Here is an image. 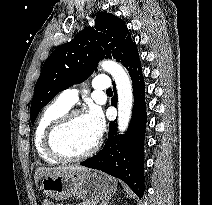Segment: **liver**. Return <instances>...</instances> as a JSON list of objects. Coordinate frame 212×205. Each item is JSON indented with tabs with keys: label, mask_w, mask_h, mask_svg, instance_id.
I'll list each match as a JSON object with an SVG mask.
<instances>
[{
	"label": "liver",
	"mask_w": 212,
	"mask_h": 205,
	"mask_svg": "<svg viewBox=\"0 0 212 205\" xmlns=\"http://www.w3.org/2000/svg\"><path fill=\"white\" fill-rule=\"evenodd\" d=\"M61 171H76V172H87L90 171L88 168L83 166H65V167H55V168H38L35 172V183L38 184L41 177L48 174H55Z\"/></svg>",
	"instance_id": "obj_1"
}]
</instances>
